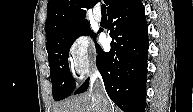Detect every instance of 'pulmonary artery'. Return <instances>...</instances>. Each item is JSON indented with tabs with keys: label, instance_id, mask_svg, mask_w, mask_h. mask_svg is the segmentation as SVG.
I'll return each mask as SVG.
<instances>
[{
	"label": "pulmonary artery",
	"instance_id": "1",
	"mask_svg": "<svg viewBox=\"0 0 193 112\" xmlns=\"http://www.w3.org/2000/svg\"><path fill=\"white\" fill-rule=\"evenodd\" d=\"M94 19L96 22L100 23L102 21V15L99 10L94 12Z\"/></svg>",
	"mask_w": 193,
	"mask_h": 112
}]
</instances>
